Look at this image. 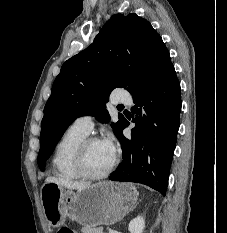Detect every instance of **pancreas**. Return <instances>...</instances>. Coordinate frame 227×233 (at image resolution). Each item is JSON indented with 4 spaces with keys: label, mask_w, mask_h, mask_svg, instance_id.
Returning a JSON list of instances; mask_svg holds the SVG:
<instances>
[{
    "label": "pancreas",
    "mask_w": 227,
    "mask_h": 233,
    "mask_svg": "<svg viewBox=\"0 0 227 233\" xmlns=\"http://www.w3.org/2000/svg\"><path fill=\"white\" fill-rule=\"evenodd\" d=\"M83 233H102V229L100 227H91L89 225H85L82 227Z\"/></svg>",
    "instance_id": "obj_1"
}]
</instances>
